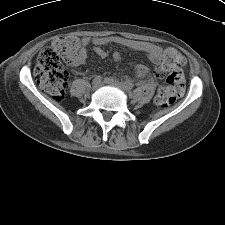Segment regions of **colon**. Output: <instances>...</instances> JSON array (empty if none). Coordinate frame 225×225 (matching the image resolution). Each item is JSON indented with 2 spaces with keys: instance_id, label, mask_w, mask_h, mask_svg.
Wrapping results in <instances>:
<instances>
[{
  "instance_id": "obj_1",
  "label": "colon",
  "mask_w": 225,
  "mask_h": 225,
  "mask_svg": "<svg viewBox=\"0 0 225 225\" xmlns=\"http://www.w3.org/2000/svg\"><path fill=\"white\" fill-rule=\"evenodd\" d=\"M78 46L76 37H58L38 55L34 75L41 89L55 100L62 99L65 94L68 84L65 64L75 62ZM185 63L186 59L180 51L174 48L166 50L162 66L155 70V76L166 81L155 95L156 106L168 108L183 94L184 75L181 68Z\"/></svg>"
}]
</instances>
